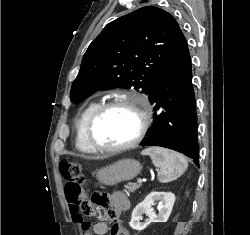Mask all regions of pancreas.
<instances>
[{
    "label": "pancreas",
    "mask_w": 250,
    "mask_h": 235,
    "mask_svg": "<svg viewBox=\"0 0 250 235\" xmlns=\"http://www.w3.org/2000/svg\"><path fill=\"white\" fill-rule=\"evenodd\" d=\"M140 185H137L136 183L130 184L126 186V189L128 190L129 193L134 192L136 189H138Z\"/></svg>",
    "instance_id": "cf45deb5"
}]
</instances>
